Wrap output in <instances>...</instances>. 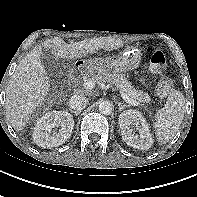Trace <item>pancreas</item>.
<instances>
[{
  "label": "pancreas",
  "instance_id": "obj_1",
  "mask_svg": "<svg viewBox=\"0 0 197 197\" xmlns=\"http://www.w3.org/2000/svg\"><path fill=\"white\" fill-rule=\"evenodd\" d=\"M88 80L110 83L116 86L120 92H123L129 98L136 100L139 103H149L151 101V98L147 93L141 90H136L123 74L117 72L94 73L91 74V77Z\"/></svg>",
  "mask_w": 197,
  "mask_h": 197
}]
</instances>
